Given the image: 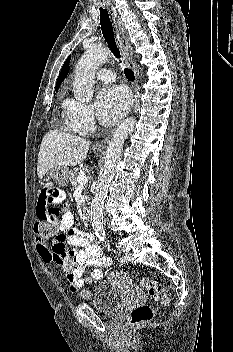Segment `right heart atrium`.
Returning <instances> with one entry per match:
<instances>
[{
    "label": "right heart atrium",
    "mask_w": 233,
    "mask_h": 352,
    "mask_svg": "<svg viewBox=\"0 0 233 352\" xmlns=\"http://www.w3.org/2000/svg\"><path fill=\"white\" fill-rule=\"evenodd\" d=\"M67 108L70 112L76 132L85 133L94 127V113L89 105L83 104L74 99H69L67 100Z\"/></svg>",
    "instance_id": "d8ad5b80"
}]
</instances>
